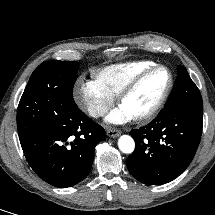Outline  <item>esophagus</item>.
Wrapping results in <instances>:
<instances>
[{
  "label": "esophagus",
  "mask_w": 215,
  "mask_h": 215,
  "mask_svg": "<svg viewBox=\"0 0 215 215\" xmlns=\"http://www.w3.org/2000/svg\"><path fill=\"white\" fill-rule=\"evenodd\" d=\"M106 133L109 137L115 138L121 134V131H119L117 129H108Z\"/></svg>",
  "instance_id": "esophagus-1"
}]
</instances>
